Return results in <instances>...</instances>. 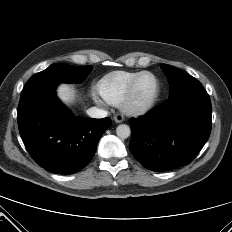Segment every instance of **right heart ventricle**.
Here are the masks:
<instances>
[{"mask_svg": "<svg viewBox=\"0 0 232 232\" xmlns=\"http://www.w3.org/2000/svg\"><path fill=\"white\" fill-rule=\"evenodd\" d=\"M140 72L114 71L106 74L98 83V92L103 100L119 106L131 82Z\"/></svg>", "mask_w": 232, "mask_h": 232, "instance_id": "e07e8e85", "label": "right heart ventricle"}]
</instances>
